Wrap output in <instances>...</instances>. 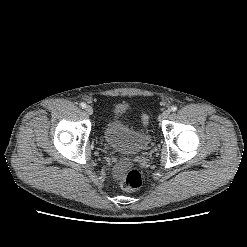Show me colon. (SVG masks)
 I'll return each instance as SVG.
<instances>
[{
  "instance_id": "colon-1",
  "label": "colon",
  "mask_w": 247,
  "mask_h": 247,
  "mask_svg": "<svg viewBox=\"0 0 247 247\" xmlns=\"http://www.w3.org/2000/svg\"><path fill=\"white\" fill-rule=\"evenodd\" d=\"M142 120L147 123V117L143 116ZM142 185V175L138 170H130L122 179L121 187L126 191H134Z\"/></svg>"
}]
</instances>
